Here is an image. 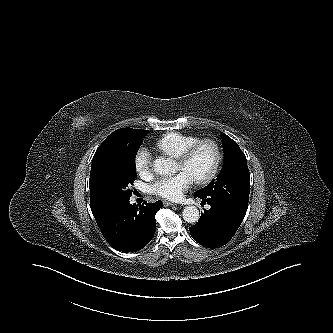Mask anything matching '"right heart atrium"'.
I'll list each match as a JSON object with an SVG mask.
<instances>
[{
	"label": "right heart atrium",
	"mask_w": 333,
	"mask_h": 333,
	"mask_svg": "<svg viewBox=\"0 0 333 333\" xmlns=\"http://www.w3.org/2000/svg\"><path fill=\"white\" fill-rule=\"evenodd\" d=\"M134 166L137 173L141 176H147L152 169V154L147 148L141 147L134 156Z\"/></svg>",
	"instance_id": "1"
}]
</instances>
